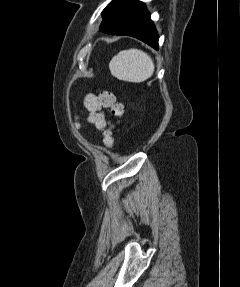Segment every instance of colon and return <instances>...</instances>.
Returning <instances> with one entry per match:
<instances>
[{"label":"colon","instance_id":"obj_1","mask_svg":"<svg viewBox=\"0 0 240 287\" xmlns=\"http://www.w3.org/2000/svg\"><path fill=\"white\" fill-rule=\"evenodd\" d=\"M97 98L102 107L110 109L112 115L117 119L113 123H109L103 130V143L106 148H111L114 143L113 131L119 120L123 117L125 112L124 104L117 101L115 95L108 90H99Z\"/></svg>","mask_w":240,"mask_h":287}]
</instances>
